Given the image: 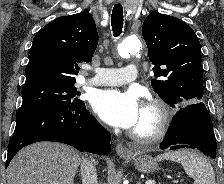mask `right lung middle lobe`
<instances>
[{
  "instance_id": "right-lung-middle-lobe-1",
  "label": "right lung middle lobe",
  "mask_w": 224,
  "mask_h": 184,
  "mask_svg": "<svg viewBox=\"0 0 224 184\" xmlns=\"http://www.w3.org/2000/svg\"><path fill=\"white\" fill-rule=\"evenodd\" d=\"M75 83H59L53 81H36L25 84L22 88L23 102L16 120L26 114L47 108L75 109L84 104L77 96L79 93Z\"/></svg>"
}]
</instances>
